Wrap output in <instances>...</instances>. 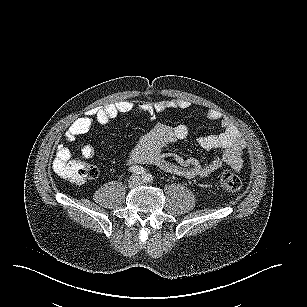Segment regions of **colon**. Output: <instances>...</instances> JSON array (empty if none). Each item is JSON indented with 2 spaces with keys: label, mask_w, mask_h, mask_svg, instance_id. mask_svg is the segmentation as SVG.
<instances>
[{
  "label": "colon",
  "mask_w": 307,
  "mask_h": 307,
  "mask_svg": "<svg viewBox=\"0 0 307 307\" xmlns=\"http://www.w3.org/2000/svg\"><path fill=\"white\" fill-rule=\"evenodd\" d=\"M55 171L60 176L77 183L93 179L99 174L96 166L88 164L79 158L56 162ZM219 185L224 191L235 193L242 188V181L234 172L225 169L219 175Z\"/></svg>",
  "instance_id": "1"
}]
</instances>
